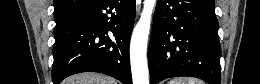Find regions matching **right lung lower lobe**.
I'll return each instance as SVG.
<instances>
[{
	"instance_id": "98d812e1",
	"label": "right lung lower lobe",
	"mask_w": 260,
	"mask_h": 84,
	"mask_svg": "<svg viewBox=\"0 0 260 84\" xmlns=\"http://www.w3.org/2000/svg\"><path fill=\"white\" fill-rule=\"evenodd\" d=\"M135 12V0H96L57 27L53 83L80 72H99L132 84L129 43Z\"/></svg>"
}]
</instances>
